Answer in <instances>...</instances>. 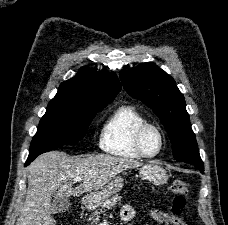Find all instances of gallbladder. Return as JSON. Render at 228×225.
<instances>
[{"label":"gallbladder","instance_id":"obj_1","mask_svg":"<svg viewBox=\"0 0 228 225\" xmlns=\"http://www.w3.org/2000/svg\"><path fill=\"white\" fill-rule=\"evenodd\" d=\"M71 205L70 199H62V197H56L55 195L52 201L53 213H66Z\"/></svg>","mask_w":228,"mask_h":225}]
</instances>
